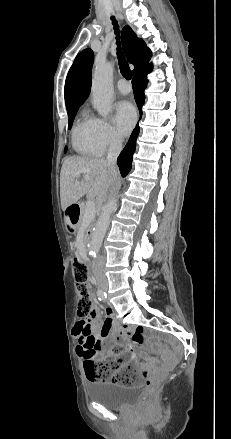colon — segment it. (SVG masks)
<instances>
[{
    "instance_id": "obj_1",
    "label": "colon",
    "mask_w": 231,
    "mask_h": 439,
    "mask_svg": "<svg viewBox=\"0 0 231 439\" xmlns=\"http://www.w3.org/2000/svg\"><path fill=\"white\" fill-rule=\"evenodd\" d=\"M73 271L76 290L79 295L77 313L80 318L87 319L92 313V300L88 290L89 270L83 261L75 258ZM83 359L85 373L90 381H105L109 379L118 385H132L137 382L136 371L131 366H119L111 373L113 362L99 360L98 354L91 349L85 352ZM157 387L158 382L156 379H146V389L141 397L142 404H148L152 401Z\"/></svg>"
}]
</instances>
